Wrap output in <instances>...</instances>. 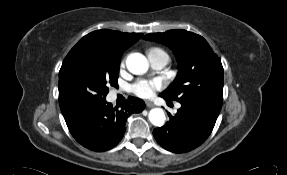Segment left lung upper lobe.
<instances>
[{"instance_id":"1","label":"left lung upper lobe","mask_w":287,"mask_h":175,"mask_svg":"<svg viewBox=\"0 0 287 175\" xmlns=\"http://www.w3.org/2000/svg\"><path fill=\"white\" fill-rule=\"evenodd\" d=\"M143 39L169 46L178 60L176 79L160 95L216 120L223 101V67L207 41L185 30L148 34Z\"/></svg>"}]
</instances>
